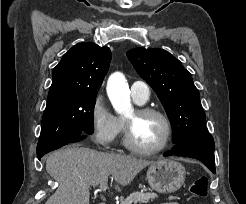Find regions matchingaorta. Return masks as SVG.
I'll return each instance as SVG.
<instances>
[{
    "instance_id": "762f6f07",
    "label": "aorta",
    "mask_w": 246,
    "mask_h": 204,
    "mask_svg": "<svg viewBox=\"0 0 246 204\" xmlns=\"http://www.w3.org/2000/svg\"><path fill=\"white\" fill-rule=\"evenodd\" d=\"M107 93L116 113L131 116L134 112L130 90L122 73L112 74L107 83Z\"/></svg>"
}]
</instances>
